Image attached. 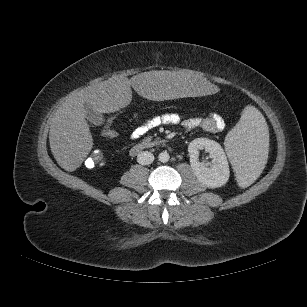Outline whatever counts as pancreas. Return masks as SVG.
<instances>
[{
	"label": "pancreas",
	"mask_w": 307,
	"mask_h": 307,
	"mask_svg": "<svg viewBox=\"0 0 307 307\" xmlns=\"http://www.w3.org/2000/svg\"><path fill=\"white\" fill-rule=\"evenodd\" d=\"M151 139H152V137L149 136V137H146V138H145V141H146V142H149V141H151Z\"/></svg>",
	"instance_id": "cf45deb5"
}]
</instances>
